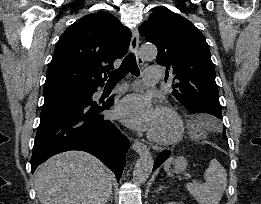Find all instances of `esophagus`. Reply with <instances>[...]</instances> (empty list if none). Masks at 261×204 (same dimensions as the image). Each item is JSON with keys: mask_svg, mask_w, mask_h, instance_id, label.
I'll return each instance as SVG.
<instances>
[{"mask_svg": "<svg viewBox=\"0 0 261 204\" xmlns=\"http://www.w3.org/2000/svg\"><path fill=\"white\" fill-rule=\"evenodd\" d=\"M138 49H139V33H138V30L137 29H134L133 33H132V37H131V42H130V46H129V50L131 53L135 54L136 57H137V62L140 64V65H143L144 61L143 59L140 57L139 55V52H138ZM132 148L135 152H137L139 155H146L149 153V149L148 147L138 141V140H135L133 142V145H132Z\"/></svg>", "mask_w": 261, "mask_h": 204, "instance_id": "obj_1", "label": "esophagus"}]
</instances>
